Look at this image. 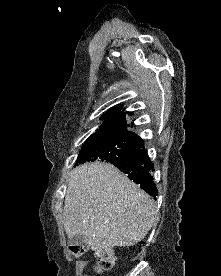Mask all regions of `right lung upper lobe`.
Returning a JSON list of instances; mask_svg holds the SVG:
<instances>
[{
    "instance_id": "obj_1",
    "label": "right lung upper lobe",
    "mask_w": 221,
    "mask_h": 276,
    "mask_svg": "<svg viewBox=\"0 0 221 276\" xmlns=\"http://www.w3.org/2000/svg\"><path fill=\"white\" fill-rule=\"evenodd\" d=\"M126 114L131 115L132 113L125 112L121 105L111 108L100 118L101 120H104L103 124H101L96 130V133L92 134L90 137L113 133L139 137L134 132L127 130L128 125L126 123Z\"/></svg>"
}]
</instances>
